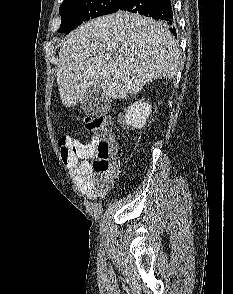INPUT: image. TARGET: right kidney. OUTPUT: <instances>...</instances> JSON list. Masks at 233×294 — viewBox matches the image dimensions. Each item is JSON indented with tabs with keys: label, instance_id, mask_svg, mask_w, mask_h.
Returning a JSON list of instances; mask_svg holds the SVG:
<instances>
[{
	"label": "right kidney",
	"instance_id": "right-kidney-1",
	"mask_svg": "<svg viewBox=\"0 0 233 294\" xmlns=\"http://www.w3.org/2000/svg\"><path fill=\"white\" fill-rule=\"evenodd\" d=\"M152 106L144 100H139L128 107L125 113V124L132 128L140 129L144 127L148 116L151 114Z\"/></svg>",
	"mask_w": 233,
	"mask_h": 294
}]
</instances>
